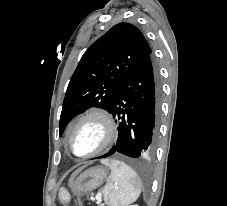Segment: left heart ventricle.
I'll use <instances>...</instances> for the list:
<instances>
[{
	"label": "left heart ventricle",
	"instance_id": "left-heart-ventricle-1",
	"mask_svg": "<svg viewBox=\"0 0 227 206\" xmlns=\"http://www.w3.org/2000/svg\"><path fill=\"white\" fill-rule=\"evenodd\" d=\"M103 127L95 119L83 122L72 134L71 148L74 153L82 155L93 151L101 143Z\"/></svg>",
	"mask_w": 227,
	"mask_h": 206
}]
</instances>
